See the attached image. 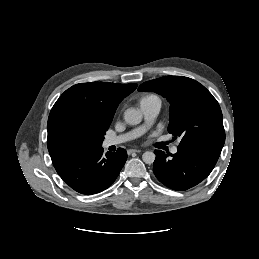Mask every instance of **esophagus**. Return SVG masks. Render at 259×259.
Returning a JSON list of instances; mask_svg holds the SVG:
<instances>
[{"label": "esophagus", "instance_id": "obj_1", "mask_svg": "<svg viewBox=\"0 0 259 259\" xmlns=\"http://www.w3.org/2000/svg\"><path fill=\"white\" fill-rule=\"evenodd\" d=\"M140 152H141V150H137V149H129V150L127 151V153H128L129 155L134 154V153H140Z\"/></svg>", "mask_w": 259, "mask_h": 259}]
</instances>
